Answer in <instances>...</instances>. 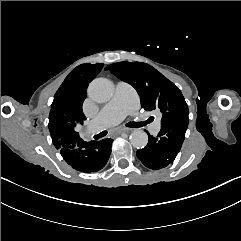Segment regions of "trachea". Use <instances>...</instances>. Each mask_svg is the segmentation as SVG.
<instances>
[{"label": "trachea", "instance_id": "obj_1", "mask_svg": "<svg viewBox=\"0 0 241 241\" xmlns=\"http://www.w3.org/2000/svg\"><path fill=\"white\" fill-rule=\"evenodd\" d=\"M142 125H143L142 122H138V123L132 122V127H135V128L139 127V126H142ZM106 134H107V131L105 130V131H102L101 133L95 135L93 138L99 139V138H102V137L106 136Z\"/></svg>", "mask_w": 241, "mask_h": 241}]
</instances>
